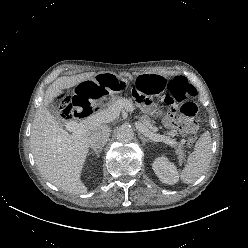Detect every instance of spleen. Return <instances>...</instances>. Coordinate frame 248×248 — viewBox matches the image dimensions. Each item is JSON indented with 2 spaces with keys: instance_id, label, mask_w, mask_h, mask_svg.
<instances>
[{
  "instance_id": "1",
  "label": "spleen",
  "mask_w": 248,
  "mask_h": 248,
  "mask_svg": "<svg viewBox=\"0 0 248 248\" xmlns=\"http://www.w3.org/2000/svg\"><path fill=\"white\" fill-rule=\"evenodd\" d=\"M212 158V140L206 131L195 144L194 151L189 155L180 178L183 183L191 184L200 178L208 169Z\"/></svg>"
}]
</instances>
